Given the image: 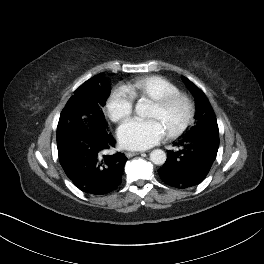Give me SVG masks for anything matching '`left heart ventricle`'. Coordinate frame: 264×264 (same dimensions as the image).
<instances>
[{
  "label": "left heart ventricle",
  "mask_w": 264,
  "mask_h": 264,
  "mask_svg": "<svg viewBox=\"0 0 264 264\" xmlns=\"http://www.w3.org/2000/svg\"><path fill=\"white\" fill-rule=\"evenodd\" d=\"M185 115V109L182 104H176L166 112H161L155 105H152L149 117L158 119L165 130L168 131L176 127L183 119Z\"/></svg>",
  "instance_id": "left-heart-ventricle-1"
}]
</instances>
